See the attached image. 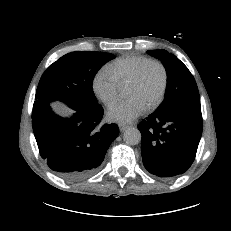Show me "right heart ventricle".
I'll return each mask as SVG.
<instances>
[{"mask_svg": "<svg viewBox=\"0 0 231 231\" xmlns=\"http://www.w3.org/2000/svg\"><path fill=\"white\" fill-rule=\"evenodd\" d=\"M148 60H150V58L143 55H125L115 59L106 69L114 77L119 88H125L128 86L139 67Z\"/></svg>", "mask_w": 231, "mask_h": 231, "instance_id": "obj_1", "label": "right heart ventricle"}]
</instances>
